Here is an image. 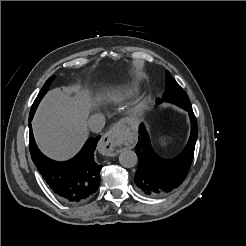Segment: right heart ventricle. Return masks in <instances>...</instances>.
<instances>
[{
	"label": "right heart ventricle",
	"instance_id": "right-heart-ventricle-1",
	"mask_svg": "<svg viewBox=\"0 0 246 246\" xmlns=\"http://www.w3.org/2000/svg\"><path fill=\"white\" fill-rule=\"evenodd\" d=\"M136 90V86L114 88L106 91L103 98L106 101L120 103L126 100Z\"/></svg>",
	"mask_w": 246,
	"mask_h": 246
}]
</instances>
